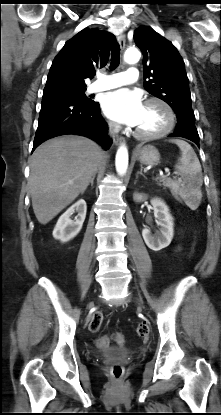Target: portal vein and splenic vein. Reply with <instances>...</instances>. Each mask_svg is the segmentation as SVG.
Masks as SVG:
<instances>
[{
	"label": "portal vein and splenic vein",
	"mask_w": 221,
	"mask_h": 415,
	"mask_svg": "<svg viewBox=\"0 0 221 415\" xmlns=\"http://www.w3.org/2000/svg\"><path fill=\"white\" fill-rule=\"evenodd\" d=\"M165 172H166V176H169L170 175V171L169 170H166Z\"/></svg>",
	"instance_id": "18ae733b"
}]
</instances>
